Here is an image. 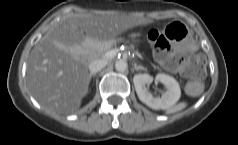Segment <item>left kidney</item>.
<instances>
[{
	"mask_svg": "<svg viewBox=\"0 0 238 145\" xmlns=\"http://www.w3.org/2000/svg\"><path fill=\"white\" fill-rule=\"evenodd\" d=\"M155 80L161 82L167 88L161 97H154L146 88V84L152 81V77L149 74H137L134 76L133 82L140 101L155 110L172 107L181 96L178 82L164 73L157 74Z\"/></svg>",
	"mask_w": 238,
	"mask_h": 145,
	"instance_id": "left-kidney-1",
	"label": "left kidney"
}]
</instances>
